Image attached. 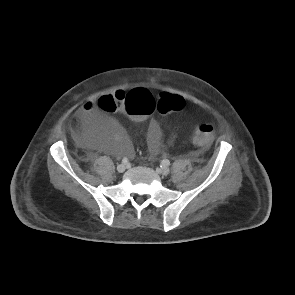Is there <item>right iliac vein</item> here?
Instances as JSON below:
<instances>
[{"instance_id": "1", "label": "right iliac vein", "mask_w": 295, "mask_h": 295, "mask_svg": "<svg viewBox=\"0 0 295 295\" xmlns=\"http://www.w3.org/2000/svg\"><path fill=\"white\" fill-rule=\"evenodd\" d=\"M125 169H126L125 164H119V165L117 166V171H118L119 173H123V172L125 171Z\"/></svg>"}]
</instances>
